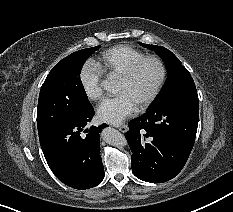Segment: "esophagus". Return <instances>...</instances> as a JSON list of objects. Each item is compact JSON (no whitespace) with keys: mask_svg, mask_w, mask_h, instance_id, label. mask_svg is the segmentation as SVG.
I'll list each match as a JSON object with an SVG mask.
<instances>
[{"mask_svg":"<svg viewBox=\"0 0 233 212\" xmlns=\"http://www.w3.org/2000/svg\"><path fill=\"white\" fill-rule=\"evenodd\" d=\"M117 128L121 131V132H126L128 130V126L126 124H122L117 126Z\"/></svg>","mask_w":233,"mask_h":212,"instance_id":"34e87169","label":"esophagus"}]
</instances>
